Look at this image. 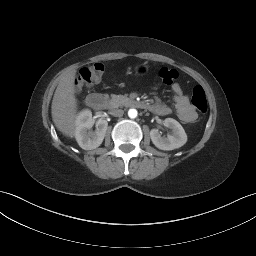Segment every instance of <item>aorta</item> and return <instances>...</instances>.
Instances as JSON below:
<instances>
[{
	"mask_svg": "<svg viewBox=\"0 0 256 256\" xmlns=\"http://www.w3.org/2000/svg\"><path fill=\"white\" fill-rule=\"evenodd\" d=\"M138 115V112L136 109H129L128 111V116L131 118V119H134L136 118Z\"/></svg>",
	"mask_w": 256,
	"mask_h": 256,
	"instance_id": "aorta-1",
	"label": "aorta"
}]
</instances>
